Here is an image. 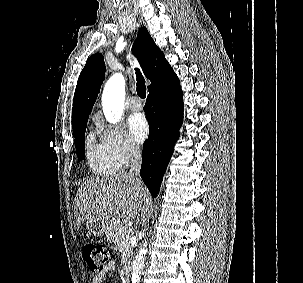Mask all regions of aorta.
<instances>
[{
    "mask_svg": "<svg viewBox=\"0 0 303 283\" xmlns=\"http://www.w3.org/2000/svg\"><path fill=\"white\" fill-rule=\"evenodd\" d=\"M125 80L119 74H113L107 81L102 94V107L105 118L110 123L120 121L124 111ZM144 233L142 236L144 237ZM146 241L142 242L131 265V283H140L141 274L146 260Z\"/></svg>",
    "mask_w": 303,
    "mask_h": 283,
    "instance_id": "1",
    "label": "aorta"
}]
</instances>
